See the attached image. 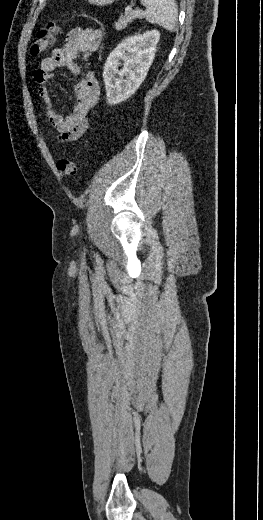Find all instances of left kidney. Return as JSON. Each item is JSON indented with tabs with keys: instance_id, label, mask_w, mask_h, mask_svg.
<instances>
[{
	"instance_id": "left-kidney-1",
	"label": "left kidney",
	"mask_w": 263,
	"mask_h": 520,
	"mask_svg": "<svg viewBox=\"0 0 263 520\" xmlns=\"http://www.w3.org/2000/svg\"><path fill=\"white\" fill-rule=\"evenodd\" d=\"M159 39L158 31H148L126 38L110 53L103 71L110 105L125 101L140 87L154 60ZM120 61L124 66L118 70Z\"/></svg>"
}]
</instances>
